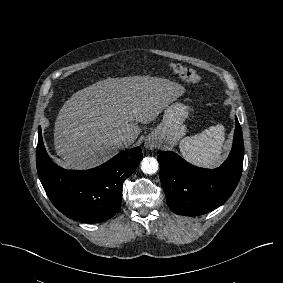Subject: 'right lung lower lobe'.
<instances>
[{"label":"right lung lower lobe","mask_w":283,"mask_h":283,"mask_svg":"<svg viewBox=\"0 0 283 283\" xmlns=\"http://www.w3.org/2000/svg\"><path fill=\"white\" fill-rule=\"evenodd\" d=\"M142 159L140 147L119 153L89 170H64L49 158L38 130L37 172L53 205L65 216L98 223L110 219L121 206L122 185Z\"/></svg>","instance_id":"right-lung-lower-lobe-1"}]
</instances>
